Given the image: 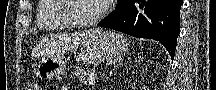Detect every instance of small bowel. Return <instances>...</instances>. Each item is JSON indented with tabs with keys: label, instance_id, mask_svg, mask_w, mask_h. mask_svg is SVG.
Returning <instances> with one entry per match:
<instances>
[{
	"label": "small bowel",
	"instance_id": "obj_1",
	"mask_svg": "<svg viewBox=\"0 0 216 90\" xmlns=\"http://www.w3.org/2000/svg\"><path fill=\"white\" fill-rule=\"evenodd\" d=\"M69 87L68 86H64L61 90H68Z\"/></svg>",
	"mask_w": 216,
	"mask_h": 90
}]
</instances>
